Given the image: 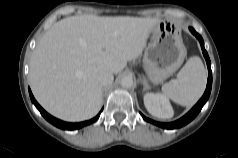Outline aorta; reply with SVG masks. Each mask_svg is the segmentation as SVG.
Masks as SVG:
<instances>
[{"label":"aorta","instance_id":"762f6f07","mask_svg":"<svg viewBox=\"0 0 238 158\" xmlns=\"http://www.w3.org/2000/svg\"><path fill=\"white\" fill-rule=\"evenodd\" d=\"M121 85L124 88H131L133 85V78L131 76H124L121 79Z\"/></svg>","mask_w":238,"mask_h":158}]
</instances>
